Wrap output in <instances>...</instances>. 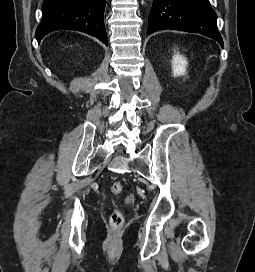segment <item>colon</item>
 I'll use <instances>...</instances> for the list:
<instances>
[{
	"label": "colon",
	"instance_id": "colon-1",
	"mask_svg": "<svg viewBox=\"0 0 255 272\" xmlns=\"http://www.w3.org/2000/svg\"><path fill=\"white\" fill-rule=\"evenodd\" d=\"M123 185L120 182H114L111 186V191L114 195H118L122 192ZM125 218L120 209L115 208L109 218V224L112 228H120L124 225Z\"/></svg>",
	"mask_w": 255,
	"mask_h": 272
}]
</instances>
